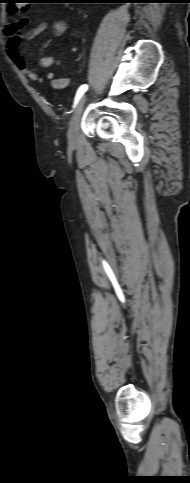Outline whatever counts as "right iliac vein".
Returning a JSON list of instances; mask_svg holds the SVG:
<instances>
[{
  "mask_svg": "<svg viewBox=\"0 0 190 483\" xmlns=\"http://www.w3.org/2000/svg\"><path fill=\"white\" fill-rule=\"evenodd\" d=\"M86 100H87V96L86 95L82 96L71 118L70 127L68 130V140L70 143H75L77 141L80 117L83 111V107L86 103Z\"/></svg>",
  "mask_w": 190,
  "mask_h": 483,
  "instance_id": "right-iliac-vein-1",
  "label": "right iliac vein"
}]
</instances>
